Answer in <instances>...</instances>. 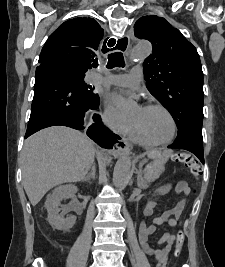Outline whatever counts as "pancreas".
Returning <instances> with one entry per match:
<instances>
[{
	"label": "pancreas",
	"instance_id": "cf45deb5",
	"mask_svg": "<svg viewBox=\"0 0 225 267\" xmlns=\"http://www.w3.org/2000/svg\"><path fill=\"white\" fill-rule=\"evenodd\" d=\"M166 160H156L149 165L148 169H145L143 184L147 186L148 184L154 182L156 179L160 177L162 172L164 171V164Z\"/></svg>",
	"mask_w": 225,
	"mask_h": 267
}]
</instances>
